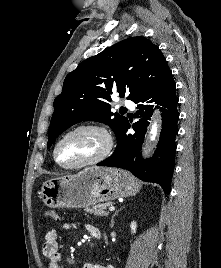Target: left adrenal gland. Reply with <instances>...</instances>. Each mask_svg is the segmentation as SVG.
I'll return each instance as SVG.
<instances>
[{
  "instance_id": "left-adrenal-gland-1",
  "label": "left adrenal gland",
  "mask_w": 221,
  "mask_h": 268,
  "mask_svg": "<svg viewBox=\"0 0 221 268\" xmlns=\"http://www.w3.org/2000/svg\"><path fill=\"white\" fill-rule=\"evenodd\" d=\"M123 208H120L119 210H116L115 213L112 215V218H111V223H110V227L113 228L114 226V218L116 215H118V213L122 210Z\"/></svg>"
}]
</instances>
